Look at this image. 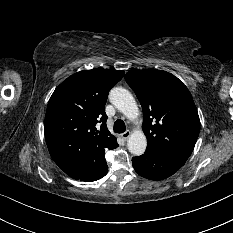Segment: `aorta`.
<instances>
[{
  "instance_id": "aorta-1",
  "label": "aorta",
  "mask_w": 233,
  "mask_h": 233,
  "mask_svg": "<svg viewBox=\"0 0 233 233\" xmlns=\"http://www.w3.org/2000/svg\"><path fill=\"white\" fill-rule=\"evenodd\" d=\"M110 102L128 119L134 120L138 116V106L132 94L121 87L113 88L109 94ZM128 150L135 156L142 155L147 147L146 136L142 131H135L127 142Z\"/></svg>"
}]
</instances>
